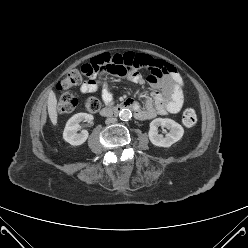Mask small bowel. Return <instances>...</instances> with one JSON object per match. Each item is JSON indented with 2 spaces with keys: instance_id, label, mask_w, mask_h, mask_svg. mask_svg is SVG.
<instances>
[{
  "instance_id": "obj_1",
  "label": "small bowel",
  "mask_w": 248,
  "mask_h": 248,
  "mask_svg": "<svg viewBox=\"0 0 248 248\" xmlns=\"http://www.w3.org/2000/svg\"><path fill=\"white\" fill-rule=\"evenodd\" d=\"M121 69L128 74L131 82L150 85L153 93L146 100L144 109L136 115L140 120H147L159 115L178 113L183 105V80L176 69L166 61L143 53L126 52L115 54ZM139 70L149 72L144 77ZM82 93H92L101 90V97L106 105L114 101L113 94L108 88L102 74H96L83 81L79 87Z\"/></svg>"
}]
</instances>
